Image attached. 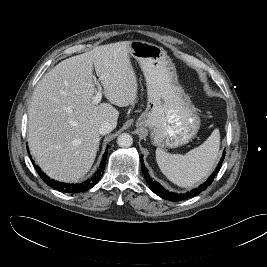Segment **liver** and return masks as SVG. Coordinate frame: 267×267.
<instances>
[{
    "label": "liver",
    "mask_w": 267,
    "mask_h": 267,
    "mask_svg": "<svg viewBox=\"0 0 267 267\" xmlns=\"http://www.w3.org/2000/svg\"><path fill=\"white\" fill-rule=\"evenodd\" d=\"M129 49V41L95 47L61 61L38 82L28 107V143L49 177L61 182L83 178L96 158L100 125H117L115 107L93 103V68L112 104L125 107L136 101Z\"/></svg>",
    "instance_id": "liver-1"
}]
</instances>
